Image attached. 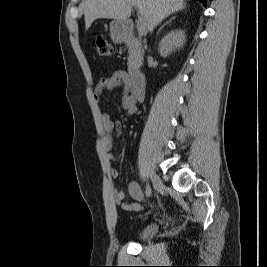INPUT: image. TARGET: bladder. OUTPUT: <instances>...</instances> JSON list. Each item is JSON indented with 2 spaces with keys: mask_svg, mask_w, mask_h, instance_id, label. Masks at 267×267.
<instances>
[{
  "mask_svg": "<svg viewBox=\"0 0 267 267\" xmlns=\"http://www.w3.org/2000/svg\"><path fill=\"white\" fill-rule=\"evenodd\" d=\"M158 230V226L155 224H150L144 227L138 234L137 239L140 241H146L152 238Z\"/></svg>",
  "mask_w": 267,
  "mask_h": 267,
  "instance_id": "obj_1",
  "label": "bladder"
}]
</instances>
